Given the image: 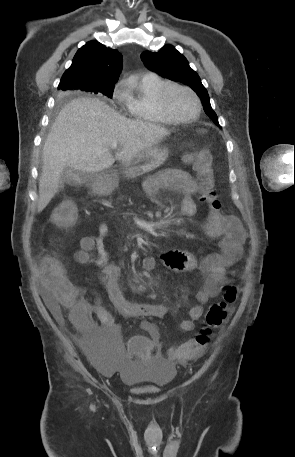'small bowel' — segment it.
I'll return each instance as SVG.
<instances>
[{"label":"small bowel","instance_id":"1","mask_svg":"<svg viewBox=\"0 0 295 457\" xmlns=\"http://www.w3.org/2000/svg\"><path fill=\"white\" fill-rule=\"evenodd\" d=\"M144 191L147 198L155 203H159L157 195L162 191L180 192L183 195V213L192 216L196 212L193 195L197 191V183L182 170L167 169L157 173L145 182ZM204 230L209 237L219 239V253L207 255L201 261H198L192 254L181 250L170 249L160 255V261L174 271L200 270L205 275L204 284L196 294L198 304L190 308L189 317L179 325L180 330L184 332L194 329L196 321L203 316V305L216 297L226 285V270L239 260L246 240L240 221L234 216L222 215L218 211L209 210ZM108 234V225L103 222L96 237H82L79 249L74 254L75 260L80 264H95L103 268L100 281L105 286L113 306L120 314L134 318H163L166 316L170 310L166 304L133 303L124 297L119 283L120 268L115 264H108L109 253L105 247ZM156 264L155 257L150 256L143 260L146 270H153ZM41 280L44 286L43 296L49 310L58 321H62L60 304L51 290L50 278L42 273ZM92 314L96 315L98 323L93 319ZM71 321L80 333L79 338L114 337L118 331L112 314L99 299L93 303L81 299L78 318L77 320L71 319ZM141 327L151 336L148 341L153 342V352L157 346L161 347L155 324L143 320ZM202 353L196 357H200Z\"/></svg>","mask_w":295,"mask_h":457}]
</instances>
